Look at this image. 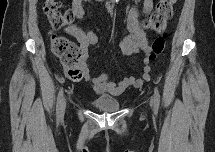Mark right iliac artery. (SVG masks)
I'll list each match as a JSON object with an SVG mask.
<instances>
[{
  "instance_id": "right-iliac-artery-1",
  "label": "right iliac artery",
  "mask_w": 215,
  "mask_h": 152,
  "mask_svg": "<svg viewBox=\"0 0 215 152\" xmlns=\"http://www.w3.org/2000/svg\"><path fill=\"white\" fill-rule=\"evenodd\" d=\"M63 88L60 89L57 97V105H56V112H57V118L60 119L61 117V109H62V102H63Z\"/></svg>"
}]
</instances>
